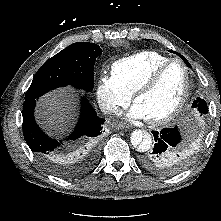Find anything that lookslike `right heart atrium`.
<instances>
[{
    "label": "right heart atrium",
    "instance_id": "1",
    "mask_svg": "<svg viewBox=\"0 0 221 221\" xmlns=\"http://www.w3.org/2000/svg\"><path fill=\"white\" fill-rule=\"evenodd\" d=\"M96 95L102 110L108 114L116 113L131 100V95L117 79L106 72H102L99 76Z\"/></svg>",
    "mask_w": 221,
    "mask_h": 221
}]
</instances>
